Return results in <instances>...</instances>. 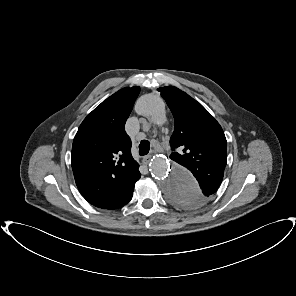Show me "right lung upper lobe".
I'll return each mask as SVG.
<instances>
[{
	"mask_svg": "<svg viewBox=\"0 0 296 296\" xmlns=\"http://www.w3.org/2000/svg\"><path fill=\"white\" fill-rule=\"evenodd\" d=\"M140 88L126 87L97 106L81 123L73 140L71 165L83 197L102 209L121 208L140 178L125 132Z\"/></svg>",
	"mask_w": 296,
	"mask_h": 296,
	"instance_id": "right-lung-upper-lobe-1",
	"label": "right lung upper lobe"
}]
</instances>
